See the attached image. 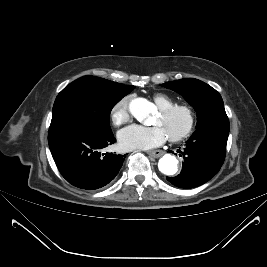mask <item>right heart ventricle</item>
I'll use <instances>...</instances> for the list:
<instances>
[{
  "label": "right heart ventricle",
  "mask_w": 267,
  "mask_h": 267,
  "mask_svg": "<svg viewBox=\"0 0 267 267\" xmlns=\"http://www.w3.org/2000/svg\"><path fill=\"white\" fill-rule=\"evenodd\" d=\"M153 101L159 109L169 107L174 104V101L166 94L157 93L153 96Z\"/></svg>",
  "instance_id": "1"
}]
</instances>
